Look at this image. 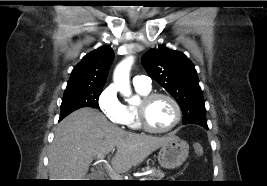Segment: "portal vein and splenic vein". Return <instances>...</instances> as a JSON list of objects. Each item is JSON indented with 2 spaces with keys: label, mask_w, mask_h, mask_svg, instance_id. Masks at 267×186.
<instances>
[{
  "label": "portal vein and splenic vein",
  "mask_w": 267,
  "mask_h": 186,
  "mask_svg": "<svg viewBox=\"0 0 267 186\" xmlns=\"http://www.w3.org/2000/svg\"><path fill=\"white\" fill-rule=\"evenodd\" d=\"M97 158H98V162L104 164V167H105V169H106L108 175L110 176V178H111L112 180H122L121 176H120L118 173H116V171H114V170L112 169V167H111V166L104 160L105 155L100 154V155L97 156ZM140 180H141V181H144L145 178H142V179H140Z\"/></svg>",
  "instance_id": "obj_1"
}]
</instances>
